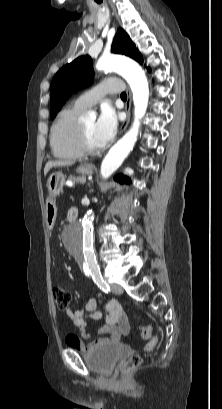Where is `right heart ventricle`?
Listing matches in <instances>:
<instances>
[{"label": "right heart ventricle", "mask_w": 222, "mask_h": 409, "mask_svg": "<svg viewBox=\"0 0 222 409\" xmlns=\"http://www.w3.org/2000/svg\"><path fill=\"white\" fill-rule=\"evenodd\" d=\"M85 109L75 103L64 107L57 115L50 133L51 149L55 157L75 160L82 157L77 146L79 118Z\"/></svg>", "instance_id": "obj_1"}]
</instances>
